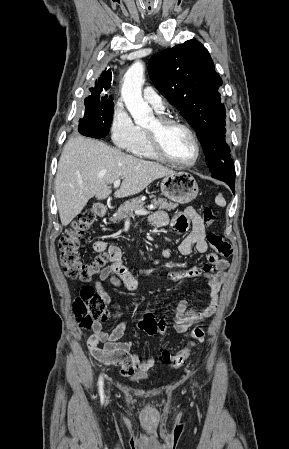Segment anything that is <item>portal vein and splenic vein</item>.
I'll return each mask as SVG.
<instances>
[{"instance_id":"portal-vein-and-splenic-vein-1","label":"portal vein and splenic vein","mask_w":289,"mask_h":449,"mask_svg":"<svg viewBox=\"0 0 289 449\" xmlns=\"http://www.w3.org/2000/svg\"><path fill=\"white\" fill-rule=\"evenodd\" d=\"M120 186V179H117L114 181L113 183V187L114 188H118ZM135 214L137 215H148L149 211L145 210V209H138L135 211Z\"/></svg>"}]
</instances>
